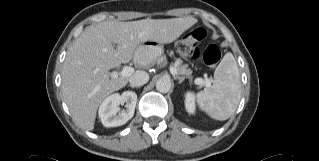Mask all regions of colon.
I'll use <instances>...</instances> for the list:
<instances>
[{"mask_svg":"<svg viewBox=\"0 0 319 161\" xmlns=\"http://www.w3.org/2000/svg\"><path fill=\"white\" fill-rule=\"evenodd\" d=\"M206 36V30L197 27L179 41L177 49L183 56H190L195 60H202L208 65L215 66L219 63L222 55L219 46L211 43L204 50L197 47V43L204 40Z\"/></svg>","mask_w":319,"mask_h":161,"instance_id":"1","label":"colon"}]
</instances>
